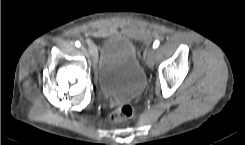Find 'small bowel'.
Listing matches in <instances>:
<instances>
[{"instance_id":"1","label":"small bowel","mask_w":245,"mask_h":145,"mask_svg":"<svg viewBox=\"0 0 245 145\" xmlns=\"http://www.w3.org/2000/svg\"><path fill=\"white\" fill-rule=\"evenodd\" d=\"M112 30H108V29H100L97 31V36L98 37H103L106 36L108 34H111ZM127 34H129L130 36L133 37H141V38H147L150 36V30L146 29V28H142L139 30H130L127 32ZM92 50L94 51V47L92 46Z\"/></svg>"}]
</instances>
